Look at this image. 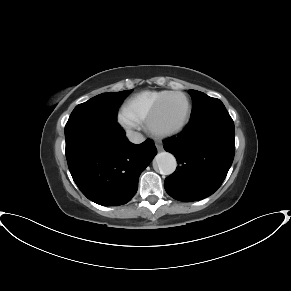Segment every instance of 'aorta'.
<instances>
[{
    "instance_id": "aorta-1",
    "label": "aorta",
    "mask_w": 291,
    "mask_h": 291,
    "mask_svg": "<svg viewBox=\"0 0 291 291\" xmlns=\"http://www.w3.org/2000/svg\"><path fill=\"white\" fill-rule=\"evenodd\" d=\"M155 162L162 175H171L177 167L175 157L169 152L158 153L155 157Z\"/></svg>"
}]
</instances>
